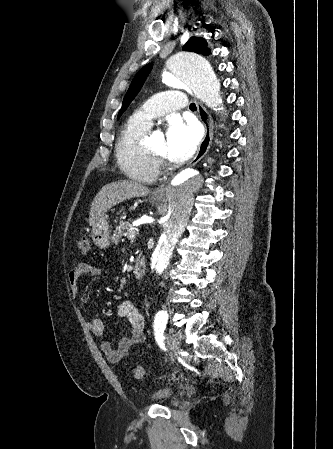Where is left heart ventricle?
Segmentation results:
<instances>
[{
	"mask_svg": "<svg viewBox=\"0 0 333 449\" xmlns=\"http://www.w3.org/2000/svg\"><path fill=\"white\" fill-rule=\"evenodd\" d=\"M151 150L158 155L167 156L166 140L162 137L152 145Z\"/></svg>",
	"mask_w": 333,
	"mask_h": 449,
	"instance_id": "b2bd125f",
	"label": "left heart ventricle"
}]
</instances>
